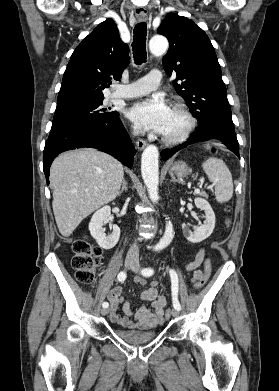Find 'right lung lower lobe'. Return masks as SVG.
<instances>
[{
  "mask_svg": "<svg viewBox=\"0 0 279 391\" xmlns=\"http://www.w3.org/2000/svg\"><path fill=\"white\" fill-rule=\"evenodd\" d=\"M79 147L99 149L127 167L133 166L135 149L118 113L101 121L57 124L52 125L44 148L43 170L47 183L54 158L61 152Z\"/></svg>",
  "mask_w": 279,
  "mask_h": 391,
  "instance_id": "98d812e1",
  "label": "right lung lower lobe"
}]
</instances>
